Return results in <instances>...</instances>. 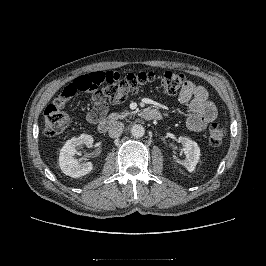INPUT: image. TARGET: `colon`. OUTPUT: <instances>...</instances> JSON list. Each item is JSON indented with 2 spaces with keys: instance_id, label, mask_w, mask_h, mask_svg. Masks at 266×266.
<instances>
[{
  "instance_id": "1",
  "label": "colon",
  "mask_w": 266,
  "mask_h": 266,
  "mask_svg": "<svg viewBox=\"0 0 266 266\" xmlns=\"http://www.w3.org/2000/svg\"><path fill=\"white\" fill-rule=\"evenodd\" d=\"M185 82L186 78L183 74L172 71L163 73L148 71L127 75L108 71L79 76L68 84L44 110V132L47 136L53 137L66 130L69 117L61 108L78 92L101 88L105 100L115 104L124 102L129 95L155 84H158L165 94L173 95L182 89ZM225 136L226 130L222 125L218 123L210 125L208 140L212 146H220Z\"/></svg>"
}]
</instances>
